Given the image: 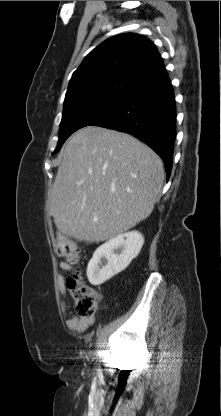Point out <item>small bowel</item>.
Wrapping results in <instances>:
<instances>
[{
    "label": "small bowel",
    "instance_id": "c3829d8e",
    "mask_svg": "<svg viewBox=\"0 0 221 416\" xmlns=\"http://www.w3.org/2000/svg\"><path fill=\"white\" fill-rule=\"evenodd\" d=\"M60 268L63 271H70L72 269V265L67 262H61ZM58 287L61 295V308L64 315L68 317L67 319V327L76 332H84L87 330L95 321L94 317L89 318H81L75 315H72L69 311L68 302L66 300L67 297V288L65 285V277L62 274L58 275Z\"/></svg>",
    "mask_w": 221,
    "mask_h": 416
}]
</instances>
